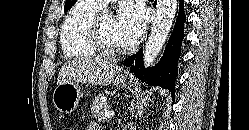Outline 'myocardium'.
I'll list each match as a JSON object with an SVG mask.
<instances>
[{
  "instance_id": "f54148a6",
  "label": "myocardium",
  "mask_w": 249,
  "mask_h": 130,
  "mask_svg": "<svg viewBox=\"0 0 249 130\" xmlns=\"http://www.w3.org/2000/svg\"><path fill=\"white\" fill-rule=\"evenodd\" d=\"M103 14L97 13L89 26V40L95 51L104 57L115 58L125 52L124 47H114L106 39L102 28Z\"/></svg>"
}]
</instances>
